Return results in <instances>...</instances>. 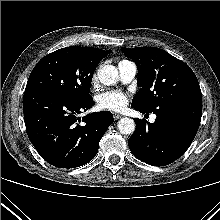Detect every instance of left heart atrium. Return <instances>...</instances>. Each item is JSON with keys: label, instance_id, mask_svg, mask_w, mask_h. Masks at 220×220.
Masks as SVG:
<instances>
[{"label": "left heart atrium", "instance_id": "left-heart-atrium-1", "mask_svg": "<svg viewBox=\"0 0 220 220\" xmlns=\"http://www.w3.org/2000/svg\"><path fill=\"white\" fill-rule=\"evenodd\" d=\"M127 104V96L120 91L104 92L98 97V105L102 109L122 110Z\"/></svg>", "mask_w": 220, "mask_h": 220}]
</instances>
